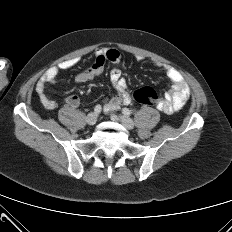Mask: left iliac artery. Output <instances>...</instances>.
Returning a JSON list of instances; mask_svg holds the SVG:
<instances>
[{"instance_id":"44dca946","label":"left iliac artery","mask_w":232,"mask_h":232,"mask_svg":"<svg viewBox=\"0 0 232 232\" xmlns=\"http://www.w3.org/2000/svg\"><path fill=\"white\" fill-rule=\"evenodd\" d=\"M122 113L124 114V115H127V116H129V115H131V110H129L128 108H123L122 109Z\"/></svg>"}]
</instances>
